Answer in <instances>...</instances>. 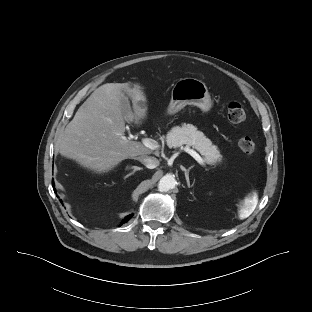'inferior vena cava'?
<instances>
[{
	"instance_id": "inferior-vena-cava-1",
	"label": "inferior vena cava",
	"mask_w": 312,
	"mask_h": 312,
	"mask_svg": "<svg viewBox=\"0 0 312 312\" xmlns=\"http://www.w3.org/2000/svg\"><path fill=\"white\" fill-rule=\"evenodd\" d=\"M137 159L149 169H154L159 165V160L155 157L141 155Z\"/></svg>"
}]
</instances>
